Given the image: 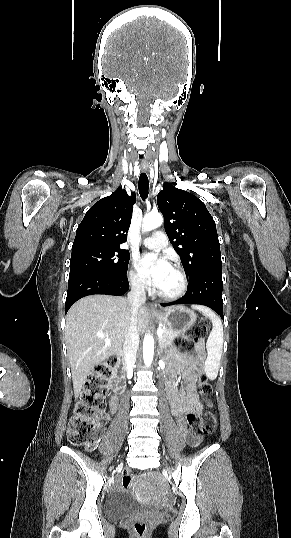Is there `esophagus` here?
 <instances>
[{
  "instance_id": "1",
  "label": "esophagus",
  "mask_w": 291,
  "mask_h": 538,
  "mask_svg": "<svg viewBox=\"0 0 291 538\" xmlns=\"http://www.w3.org/2000/svg\"><path fill=\"white\" fill-rule=\"evenodd\" d=\"M148 170H149L148 165L143 164L142 165V171L144 173H148ZM149 306H150L151 310H156V307H157L156 304L150 303Z\"/></svg>"
}]
</instances>
